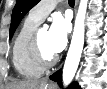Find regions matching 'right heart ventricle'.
Masks as SVG:
<instances>
[{
  "instance_id": "obj_1",
  "label": "right heart ventricle",
  "mask_w": 107,
  "mask_h": 89,
  "mask_svg": "<svg viewBox=\"0 0 107 89\" xmlns=\"http://www.w3.org/2000/svg\"><path fill=\"white\" fill-rule=\"evenodd\" d=\"M39 23L28 15L13 42V66L17 73L25 78H37L44 72V69L39 67L31 56V41Z\"/></svg>"
}]
</instances>
